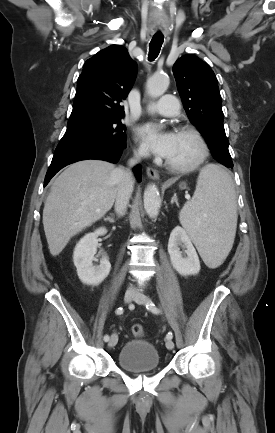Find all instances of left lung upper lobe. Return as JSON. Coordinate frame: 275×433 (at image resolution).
I'll use <instances>...</instances> for the list:
<instances>
[{
  "mask_svg": "<svg viewBox=\"0 0 275 433\" xmlns=\"http://www.w3.org/2000/svg\"><path fill=\"white\" fill-rule=\"evenodd\" d=\"M173 74L186 113L206 140L214 158L227 167L232 166L214 72L197 56L186 55L175 62Z\"/></svg>",
  "mask_w": 275,
  "mask_h": 433,
  "instance_id": "left-lung-upper-lobe-1",
  "label": "left lung upper lobe"
}]
</instances>
